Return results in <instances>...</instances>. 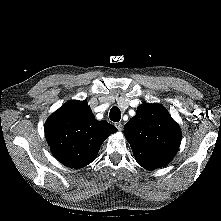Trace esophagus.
<instances>
[{"instance_id": "esophagus-1", "label": "esophagus", "mask_w": 221, "mask_h": 221, "mask_svg": "<svg viewBox=\"0 0 221 221\" xmlns=\"http://www.w3.org/2000/svg\"><path fill=\"white\" fill-rule=\"evenodd\" d=\"M115 125H116V127H117V129H118L119 131H122V129H123V125H122L121 122L116 123Z\"/></svg>"}]
</instances>
